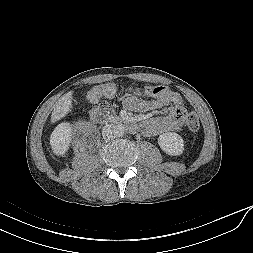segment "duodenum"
Returning <instances> with one entry per match:
<instances>
[{"label":"duodenum","mask_w":253,"mask_h":253,"mask_svg":"<svg viewBox=\"0 0 253 253\" xmlns=\"http://www.w3.org/2000/svg\"><path fill=\"white\" fill-rule=\"evenodd\" d=\"M105 117L106 111L101 106H95L90 113V118L93 122H99L103 120ZM115 122L118 124L125 125L131 131H137L139 129V125L137 124V122L129 117H117L115 118Z\"/></svg>","instance_id":"1"}]
</instances>
